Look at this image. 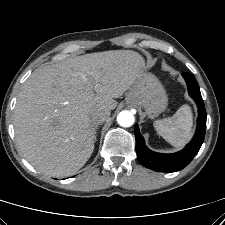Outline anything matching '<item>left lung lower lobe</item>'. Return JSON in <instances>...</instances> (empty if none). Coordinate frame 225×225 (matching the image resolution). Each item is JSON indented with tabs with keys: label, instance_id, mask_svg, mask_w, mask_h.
Returning <instances> with one entry per match:
<instances>
[{
	"label": "left lung lower lobe",
	"instance_id": "left-lung-lower-lobe-1",
	"mask_svg": "<svg viewBox=\"0 0 225 225\" xmlns=\"http://www.w3.org/2000/svg\"><path fill=\"white\" fill-rule=\"evenodd\" d=\"M186 80L189 95L194 98L199 109L198 127L191 143L182 151L174 154H160L145 146L144 138L135 126L136 153L138 161L145 167L158 172H176L187 166L198 153L205 137L206 110L195 77L190 73L182 74Z\"/></svg>",
	"mask_w": 225,
	"mask_h": 225
}]
</instances>
